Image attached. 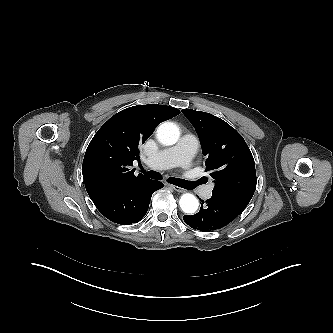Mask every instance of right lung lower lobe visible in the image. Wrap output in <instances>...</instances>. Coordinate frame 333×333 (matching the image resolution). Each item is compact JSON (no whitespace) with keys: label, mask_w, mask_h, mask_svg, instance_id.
Returning a JSON list of instances; mask_svg holds the SVG:
<instances>
[{"label":"right lung lower lobe","mask_w":333,"mask_h":333,"mask_svg":"<svg viewBox=\"0 0 333 333\" xmlns=\"http://www.w3.org/2000/svg\"><path fill=\"white\" fill-rule=\"evenodd\" d=\"M162 187L161 182L147 179L95 203V206L110 221L129 225L145 216L153 192Z\"/></svg>","instance_id":"right-lung-lower-lobe-1"}]
</instances>
